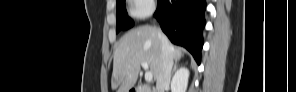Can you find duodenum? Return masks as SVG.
Here are the masks:
<instances>
[{"mask_svg": "<svg viewBox=\"0 0 296 92\" xmlns=\"http://www.w3.org/2000/svg\"><path fill=\"white\" fill-rule=\"evenodd\" d=\"M149 91L147 88L144 87H140V86H136V87H132L129 92H146Z\"/></svg>", "mask_w": 296, "mask_h": 92, "instance_id": "1", "label": "duodenum"}]
</instances>
